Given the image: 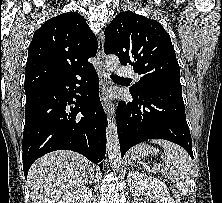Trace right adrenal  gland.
Returning a JSON list of instances; mask_svg holds the SVG:
<instances>
[{
    "mask_svg": "<svg viewBox=\"0 0 222 203\" xmlns=\"http://www.w3.org/2000/svg\"><path fill=\"white\" fill-rule=\"evenodd\" d=\"M92 180H93V175L91 174L90 175V183H92Z\"/></svg>",
    "mask_w": 222,
    "mask_h": 203,
    "instance_id": "2a0ac1e0",
    "label": "right adrenal gland"
}]
</instances>
